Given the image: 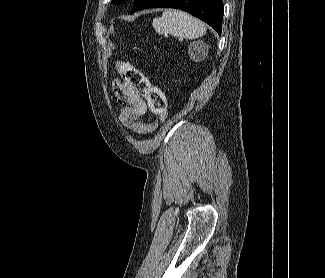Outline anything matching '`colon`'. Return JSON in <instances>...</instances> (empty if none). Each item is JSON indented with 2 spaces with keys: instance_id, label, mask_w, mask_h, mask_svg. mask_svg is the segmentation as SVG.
Masks as SVG:
<instances>
[{
  "instance_id": "colon-1",
  "label": "colon",
  "mask_w": 325,
  "mask_h": 278,
  "mask_svg": "<svg viewBox=\"0 0 325 278\" xmlns=\"http://www.w3.org/2000/svg\"><path fill=\"white\" fill-rule=\"evenodd\" d=\"M116 69L122 79L144 97L151 112L158 115L165 113V96L158 86L154 85L139 69L128 62L117 61Z\"/></svg>"
}]
</instances>
